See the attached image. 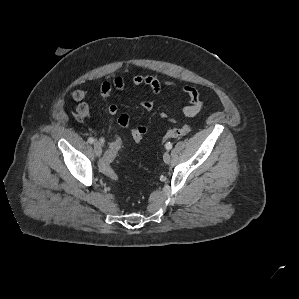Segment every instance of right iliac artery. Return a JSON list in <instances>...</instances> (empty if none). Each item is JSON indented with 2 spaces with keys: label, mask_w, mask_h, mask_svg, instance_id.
<instances>
[{
  "label": "right iliac artery",
  "mask_w": 299,
  "mask_h": 299,
  "mask_svg": "<svg viewBox=\"0 0 299 299\" xmlns=\"http://www.w3.org/2000/svg\"><path fill=\"white\" fill-rule=\"evenodd\" d=\"M88 142H89L90 144H93V143L95 142V139H94L93 137H89V138H88Z\"/></svg>",
  "instance_id": "1"
}]
</instances>
